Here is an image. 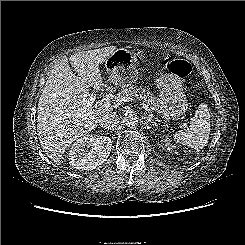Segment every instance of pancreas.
<instances>
[{
    "label": "pancreas",
    "instance_id": "cf45deb5",
    "mask_svg": "<svg viewBox=\"0 0 245 245\" xmlns=\"http://www.w3.org/2000/svg\"><path fill=\"white\" fill-rule=\"evenodd\" d=\"M128 96L140 98L145 103H147V105L154 109L159 107V100L152 94V92L146 90L145 88L137 86H131L129 88L121 89L117 96H115L114 101L115 103H119L121 98Z\"/></svg>",
    "mask_w": 245,
    "mask_h": 245
}]
</instances>
